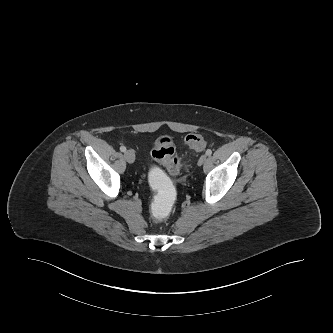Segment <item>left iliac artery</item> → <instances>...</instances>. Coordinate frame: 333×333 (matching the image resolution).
<instances>
[{
  "label": "left iliac artery",
  "instance_id": "1",
  "mask_svg": "<svg viewBox=\"0 0 333 333\" xmlns=\"http://www.w3.org/2000/svg\"><path fill=\"white\" fill-rule=\"evenodd\" d=\"M205 154L207 156H210L212 154V150L211 149H207L206 152H205Z\"/></svg>",
  "mask_w": 333,
  "mask_h": 333
}]
</instances>
